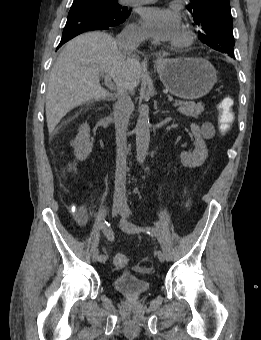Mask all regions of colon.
Wrapping results in <instances>:
<instances>
[{
	"label": "colon",
	"instance_id": "1",
	"mask_svg": "<svg viewBox=\"0 0 261 340\" xmlns=\"http://www.w3.org/2000/svg\"><path fill=\"white\" fill-rule=\"evenodd\" d=\"M234 100L230 97L222 98L217 105L218 123L222 132L228 131L235 120ZM127 257L124 254L117 253L113 256V264L116 268H123L127 264Z\"/></svg>",
	"mask_w": 261,
	"mask_h": 340
}]
</instances>
